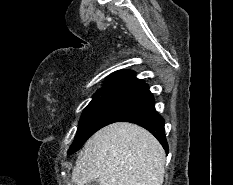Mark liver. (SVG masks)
<instances>
[{"label": "liver", "instance_id": "liver-1", "mask_svg": "<svg viewBox=\"0 0 233 185\" xmlns=\"http://www.w3.org/2000/svg\"><path fill=\"white\" fill-rule=\"evenodd\" d=\"M165 152L144 128L127 122L97 131L77 158L69 185H162Z\"/></svg>", "mask_w": 233, "mask_h": 185}]
</instances>
